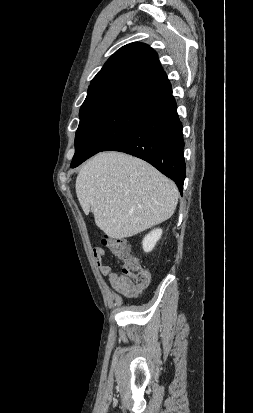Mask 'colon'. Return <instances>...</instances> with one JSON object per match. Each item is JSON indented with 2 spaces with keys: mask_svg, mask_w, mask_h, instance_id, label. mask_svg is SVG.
Masks as SVG:
<instances>
[{
  "mask_svg": "<svg viewBox=\"0 0 253 413\" xmlns=\"http://www.w3.org/2000/svg\"><path fill=\"white\" fill-rule=\"evenodd\" d=\"M102 244L107 246L112 254L122 261V271L125 276L138 286L145 287L148 285L150 274L131 253L130 245L126 240L105 236L102 239Z\"/></svg>",
  "mask_w": 253,
  "mask_h": 413,
  "instance_id": "1",
  "label": "colon"
}]
</instances>
